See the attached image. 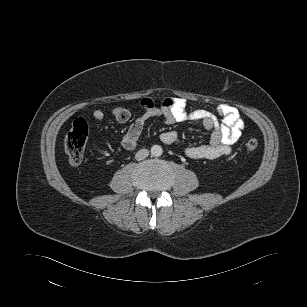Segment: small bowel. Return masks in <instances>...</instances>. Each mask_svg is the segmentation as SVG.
Segmentation results:
<instances>
[{
  "mask_svg": "<svg viewBox=\"0 0 307 307\" xmlns=\"http://www.w3.org/2000/svg\"><path fill=\"white\" fill-rule=\"evenodd\" d=\"M143 113L134 120L122 139V147L125 150H134L143 131L145 123L151 118H161L166 124H174L184 121H199L204 128L210 131L208 144L189 146L185 148V154L191 159L213 160L231 153V145L241 136L244 122L238 110L228 104H221L218 113L222 116L219 120L215 114L204 109L188 108L186 100L178 97L164 99L160 106L145 97L140 101ZM94 120L101 122L104 113L95 110L92 114ZM114 118L124 123L130 119V111L125 107H117L113 110ZM160 140L166 145L179 143V136L175 131H167L160 135Z\"/></svg>",
  "mask_w": 307,
  "mask_h": 307,
  "instance_id": "c3829d8e",
  "label": "small bowel"
}]
</instances>
